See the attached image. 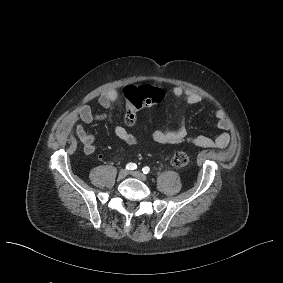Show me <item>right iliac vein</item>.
I'll list each match as a JSON object with an SVG mask.
<instances>
[{
    "label": "right iliac vein",
    "instance_id": "63e3f726",
    "mask_svg": "<svg viewBox=\"0 0 283 283\" xmlns=\"http://www.w3.org/2000/svg\"><path fill=\"white\" fill-rule=\"evenodd\" d=\"M128 175V171L126 169H122L120 172H119V175H118V178L119 179H124L126 178Z\"/></svg>",
    "mask_w": 283,
    "mask_h": 283
}]
</instances>
